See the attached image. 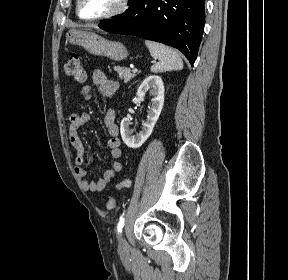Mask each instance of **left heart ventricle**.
Instances as JSON below:
<instances>
[{
    "instance_id": "b2bd125f",
    "label": "left heart ventricle",
    "mask_w": 288,
    "mask_h": 280,
    "mask_svg": "<svg viewBox=\"0 0 288 280\" xmlns=\"http://www.w3.org/2000/svg\"><path fill=\"white\" fill-rule=\"evenodd\" d=\"M120 0H82L80 12L86 18L101 16L113 10Z\"/></svg>"
}]
</instances>
